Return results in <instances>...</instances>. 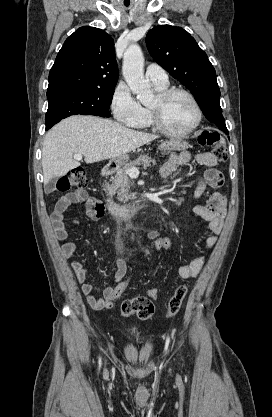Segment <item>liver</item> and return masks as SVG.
<instances>
[{
	"label": "liver",
	"instance_id": "obj_1",
	"mask_svg": "<svg viewBox=\"0 0 272 417\" xmlns=\"http://www.w3.org/2000/svg\"><path fill=\"white\" fill-rule=\"evenodd\" d=\"M157 135L129 129L118 122L94 116H71L45 135L42 149L44 182L80 166L73 158L84 156L87 164L114 159L141 147Z\"/></svg>",
	"mask_w": 272,
	"mask_h": 417
}]
</instances>
